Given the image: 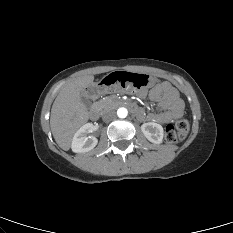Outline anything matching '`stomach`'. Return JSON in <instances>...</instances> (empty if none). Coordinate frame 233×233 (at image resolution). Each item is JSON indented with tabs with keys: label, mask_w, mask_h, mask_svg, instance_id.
<instances>
[{
	"label": "stomach",
	"mask_w": 233,
	"mask_h": 233,
	"mask_svg": "<svg viewBox=\"0 0 233 233\" xmlns=\"http://www.w3.org/2000/svg\"><path fill=\"white\" fill-rule=\"evenodd\" d=\"M156 79L147 73H127L126 71H116L100 83V92L111 94L116 89L128 88H148L155 83Z\"/></svg>",
	"instance_id": "1"
}]
</instances>
